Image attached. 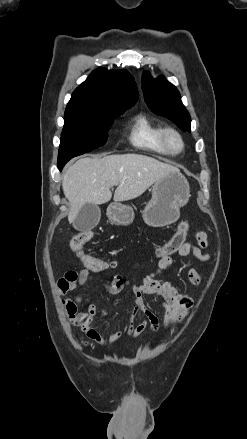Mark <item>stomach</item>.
Segmentation results:
<instances>
[{"instance_id":"obj_1","label":"stomach","mask_w":247,"mask_h":439,"mask_svg":"<svg viewBox=\"0 0 247 439\" xmlns=\"http://www.w3.org/2000/svg\"><path fill=\"white\" fill-rule=\"evenodd\" d=\"M190 187L181 173H170L152 186V198L143 211L145 223L152 227H163L175 222L180 208L187 204ZM109 220L117 226L130 225L134 220L131 206L114 202L107 208Z\"/></svg>"}]
</instances>
